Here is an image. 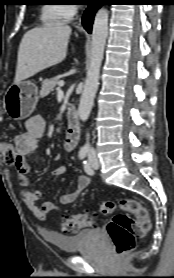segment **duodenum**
<instances>
[{
  "label": "duodenum",
  "mask_w": 174,
  "mask_h": 278,
  "mask_svg": "<svg viewBox=\"0 0 174 278\" xmlns=\"http://www.w3.org/2000/svg\"><path fill=\"white\" fill-rule=\"evenodd\" d=\"M67 132L66 143L71 145L77 142L79 138V117L77 111L73 107H69L66 111Z\"/></svg>",
  "instance_id": "410a0bca"
}]
</instances>
